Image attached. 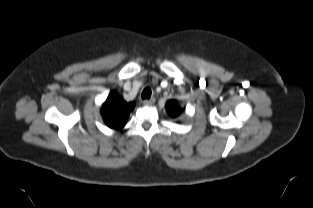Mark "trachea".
Here are the masks:
<instances>
[{
	"label": "trachea",
	"mask_w": 313,
	"mask_h": 208,
	"mask_svg": "<svg viewBox=\"0 0 313 208\" xmlns=\"http://www.w3.org/2000/svg\"><path fill=\"white\" fill-rule=\"evenodd\" d=\"M151 89L149 87H146L142 92V99H149L151 97Z\"/></svg>",
	"instance_id": "3493384b"
}]
</instances>
